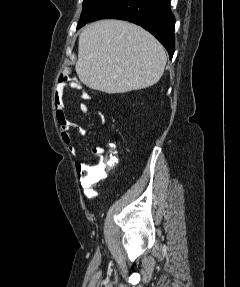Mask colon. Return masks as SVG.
I'll return each mask as SVG.
<instances>
[{"label": "colon", "mask_w": 240, "mask_h": 287, "mask_svg": "<svg viewBox=\"0 0 240 287\" xmlns=\"http://www.w3.org/2000/svg\"><path fill=\"white\" fill-rule=\"evenodd\" d=\"M67 74H61L58 84L55 89V94L58 93L59 88L68 82ZM117 155L115 150H111L106 157H99L90 164H77V173L81 183L84 186H90L96 181L104 178L107 172L115 165Z\"/></svg>", "instance_id": "obj_1"}]
</instances>
